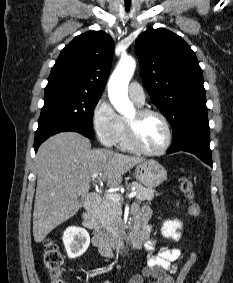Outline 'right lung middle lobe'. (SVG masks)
Here are the masks:
<instances>
[{"label": "right lung middle lobe", "instance_id": "dd1d6c3e", "mask_svg": "<svg viewBox=\"0 0 233 283\" xmlns=\"http://www.w3.org/2000/svg\"><path fill=\"white\" fill-rule=\"evenodd\" d=\"M100 97L101 94L74 88L46 86L38 128L52 123H69L92 131L93 109Z\"/></svg>", "mask_w": 233, "mask_h": 283}]
</instances>
